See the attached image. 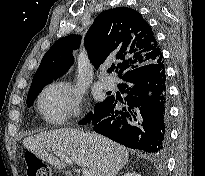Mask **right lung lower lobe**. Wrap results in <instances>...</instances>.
<instances>
[{
    "instance_id": "98d812e1",
    "label": "right lung lower lobe",
    "mask_w": 205,
    "mask_h": 176,
    "mask_svg": "<svg viewBox=\"0 0 205 176\" xmlns=\"http://www.w3.org/2000/svg\"><path fill=\"white\" fill-rule=\"evenodd\" d=\"M119 84L127 93L124 107L108 97L89 120L95 132L124 146L163 155L168 146L167 81L162 61L149 62L125 73ZM88 122V123H89Z\"/></svg>"
}]
</instances>
